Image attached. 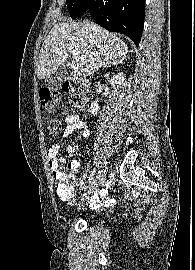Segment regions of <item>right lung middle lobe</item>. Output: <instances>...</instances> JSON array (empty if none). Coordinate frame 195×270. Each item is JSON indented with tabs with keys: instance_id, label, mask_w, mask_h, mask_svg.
<instances>
[{
	"instance_id": "dd1d6c3e",
	"label": "right lung middle lobe",
	"mask_w": 195,
	"mask_h": 270,
	"mask_svg": "<svg viewBox=\"0 0 195 270\" xmlns=\"http://www.w3.org/2000/svg\"><path fill=\"white\" fill-rule=\"evenodd\" d=\"M66 3L72 19L84 14L89 8V0H66Z\"/></svg>"
}]
</instances>
